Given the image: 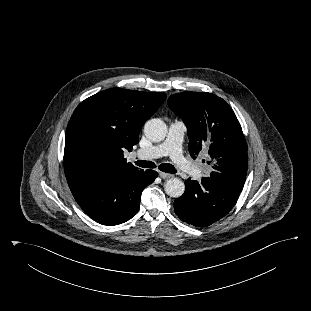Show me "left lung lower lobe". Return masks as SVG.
I'll list each match as a JSON object with an SVG mask.
<instances>
[{
    "label": "left lung lower lobe",
    "mask_w": 311,
    "mask_h": 311,
    "mask_svg": "<svg viewBox=\"0 0 311 311\" xmlns=\"http://www.w3.org/2000/svg\"><path fill=\"white\" fill-rule=\"evenodd\" d=\"M239 194L210 177H203L200 182L187 179L184 194L174 201V210L180 220L205 227L224 217Z\"/></svg>",
    "instance_id": "obj_1"
}]
</instances>
